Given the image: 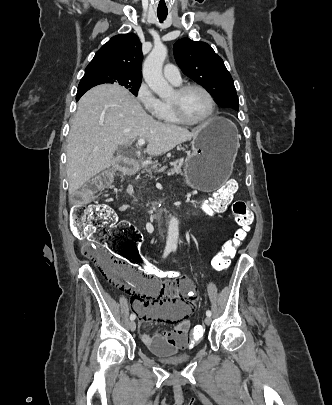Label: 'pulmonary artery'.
Listing matches in <instances>:
<instances>
[{
    "label": "pulmonary artery",
    "instance_id": "1",
    "mask_svg": "<svg viewBox=\"0 0 332 405\" xmlns=\"http://www.w3.org/2000/svg\"><path fill=\"white\" fill-rule=\"evenodd\" d=\"M164 77L173 84H179L181 82V76L179 69L173 64H167L163 70Z\"/></svg>",
    "mask_w": 332,
    "mask_h": 405
}]
</instances>
